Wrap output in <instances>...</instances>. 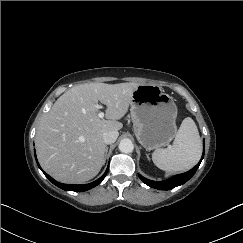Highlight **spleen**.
<instances>
[{
  "label": "spleen",
  "instance_id": "1",
  "mask_svg": "<svg viewBox=\"0 0 243 243\" xmlns=\"http://www.w3.org/2000/svg\"><path fill=\"white\" fill-rule=\"evenodd\" d=\"M202 145L195 122L185 118L168 148L156 149L152 154L154 164L168 172H183L197 164L201 157Z\"/></svg>",
  "mask_w": 243,
  "mask_h": 243
}]
</instances>
